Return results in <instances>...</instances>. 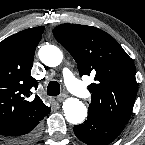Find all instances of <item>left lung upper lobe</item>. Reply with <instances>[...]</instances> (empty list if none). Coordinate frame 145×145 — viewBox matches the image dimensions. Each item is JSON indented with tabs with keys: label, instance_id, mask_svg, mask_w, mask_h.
Wrapping results in <instances>:
<instances>
[{
	"label": "left lung upper lobe",
	"instance_id": "5c2ea615",
	"mask_svg": "<svg viewBox=\"0 0 145 145\" xmlns=\"http://www.w3.org/2000/svg\"><path fill=\"white\" fill-rule=\"evenodd\" d=\"M53 34L77 62L80 75L94 76L88 114L124 127L137 94L132 59L114 38L96 27L67 23L54 28Z\"/></svg>",
	"mask_w": 145,
	"mask_h": 145
}]
</instances>
